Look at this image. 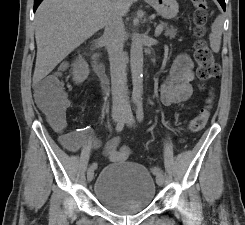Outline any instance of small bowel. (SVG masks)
<instances>
[{"label": "small bowel", "instance_id": "small-bowel-1", "mask_svg": "<svg viewBox=\"0 0 245 225\" xmlns=\"http://www.w3.org/2000/svg\"><path fill=\"white\" fill-rule=\"evenodd\" d=\"M192 67L193 63L188 55L181 54L176 58L160 89V98L163 105L169 106L190 98L193 93L192 82L194 80ZM39 86L40 83L36 87ZM66 135L70 139L68 144L70 151L76 152L99 145V142L87 135L85 131L72 129ZM119 142V138H114L107 145V157L111 163L120 162L130 157L128 149L118 147Z\"/></svg>", "mask_w": 245, "mask_h": 225}]
</instances>
